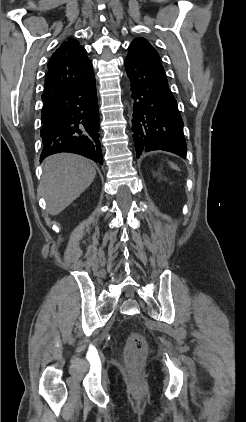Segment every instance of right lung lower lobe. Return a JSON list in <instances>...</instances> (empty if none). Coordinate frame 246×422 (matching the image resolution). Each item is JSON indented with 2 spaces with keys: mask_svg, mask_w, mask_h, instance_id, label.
Masks as SVG:
<instances>
[{
  "mask_svg": "<svg viewBox=\"0 0 246 422\" xmlns=\"http://www.w3.org/2000/svg\"><path fill=\"white\" fill-rule=\"evenodd\" d=\"M43 102L41 161L55 153L71 152L103 164L95 76Z\"/></svg>",
  "mask_w": 246,
  "mask_h": 422,
  "instance_id": "98d812e1",
  "label": "right lung lower lobe"
}]
</instances>
